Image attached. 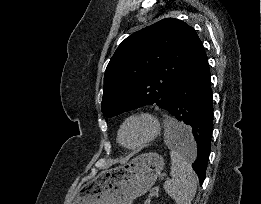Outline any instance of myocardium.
I'll use <instances>...</instances> for the list:
<instances>
[{
    "label": "myocardium",
    "mask_w": 261,
    "mask_h": 204,
    "mask_svg": "<svg viewBox=\"0 0 261 204\" xmlns=\"http://www.w3.org/2000/svg\"><path fill=\"white\" fill-rule=\"evenodd\" d=\"M132 121H145L149 125V132L146 135L145 138H143L141 141L132 144L127 145L122 141V132L127 124H129ZM161 132V123L159 118L150 111H138L131 113L128 115L121 123L118 133H117V139L118 142L126 149L135 150L140 149L154 141Z\"/></svg>",
    "instance_id": "obj_1"
}]
</instances>
